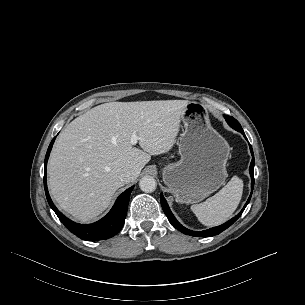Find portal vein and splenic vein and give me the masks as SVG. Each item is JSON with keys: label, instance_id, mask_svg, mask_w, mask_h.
<instances>
[{"label": "portal vein and splenic vein", "instance_id": "obj_1", "mask_svg": "<svg viewBox=\"0 0 305 305\" xmlns=\"http://www.w3.org/2000/svg\"><path fill=\"white\" fill-rule=\"evenodd\" d=\"M138 137L135 133L132 134L131 136V144L135 145L137 143Z\"/></svg>", "mask_w": 305, "mask_h": 305}]
</instances>
